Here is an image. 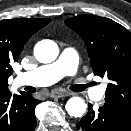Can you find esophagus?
<instances>
[{"label": "esophagus", "mask_w": 131, "mask_h": 131, "mask_svg": "<svg viewBox=\"0 0 131 131\" xmlns=\"http://www.w3.org/2000/svg\"><path fill=\"white\" fill-rule=\"evenodd\" d=\"M72 93L70 92H66V91H55L51 94V97H54V98H61V97H65V96H69L71 95Z\"/></svg>", "instance_id": "34e87169"}]
</instances>
